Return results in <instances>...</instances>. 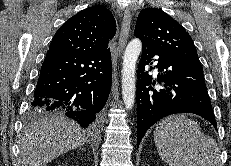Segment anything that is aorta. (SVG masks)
Masks as SVG:
<instances>
[{
    "label": "aorta",
    "instance_id": "obj_1",
    "mask_svg": "<svg viewBox=\"0 0 231 166\" xmlns=\"http://www.w3.org/2000/svg\"><path fill=\"white\" fill-rule=\"evenodd\" d=\"M142 50V43L135 38L125 49L122 68V95L126 109H132L135 99V69Z\"/></svg>",
    "mask_w": 231,
    "mask_h": 166
}]
</instances>
